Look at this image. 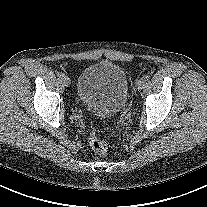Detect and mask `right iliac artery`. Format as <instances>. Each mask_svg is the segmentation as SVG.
<instances>
[{
    "label": "right iliac artery",
    "instance_id": "obj_1",
    "mask_svg": "<svg viewBox=\"0 0 207 207\" xmlns=\"http://www.w3.org/2000/svg\"><path fill=\"white\" fill-rule=\"evenodd\" d=\"M57 75H58L59 78H62L64 76V73L58 72Z\"/></svg>",
    "mask_w": 207,
    "mask_h": 207
}]
</instances>
